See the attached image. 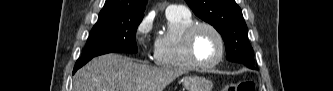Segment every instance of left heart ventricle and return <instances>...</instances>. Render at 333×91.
<instances>
[{
	"label": "left heart ventricle",
	"mask_w": 333,
	"mask_h": 91,
	"mask_svg": "<svg viewBox=\"0 0 333 91\" xmlns=\"http://www.w3.org/2000/svg\"><path fill=\"white\" fill-rule=\"evenodd\" d=\"M220 52V44L215 34L209 29L203 28L195 37V55L202 63L214 61Z\"/></svg>",
	"instance_id": "1"
}]
</instances>
